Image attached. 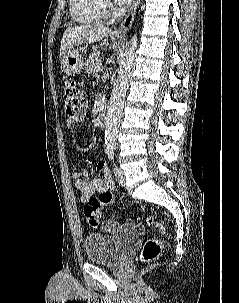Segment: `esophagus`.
Segmentation results:
<instances>
[{
  "label": "esophagus",
  "instance_id": "esophagus-1",
  "mask_svg": "<svg viewBox=\"0 0 239 303\" xmlns=\"http://www.w3.org/2000/svg\"><path fill=\"white\" fill-rule=\"evenodd\" d=\"M140 0H134L133 4L130 8L129 13L127 14V16L124 18V20L120 23L119 27L116 28L113 32H112V36L115 38H123L127 31L130 29L134 18H135V14H136V10L139 6Z\"/></svg>",
  "mask_w": 239,
  "mask_h": 303
}]
</instances>
